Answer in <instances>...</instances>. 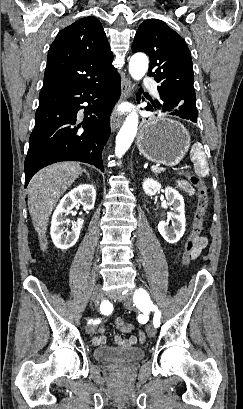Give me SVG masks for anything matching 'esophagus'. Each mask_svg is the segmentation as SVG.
Here are the masks:
<instances>
[{
  "mask_svg": "<svg viewBox=\"0 0 243 409\" xmlns=\"http://www.w3.org/2000/svg\"><path fill=\"white\" fill-rule=\"evenodd\" d=\"M132 93V82L130 80L129 77L125 78L122 86H121V95L119 98L118 103H121L127 99L130 98ZM122 119H123V115L122 113L118 110L115 109L111 115V119H110V126H111V130L115 131L116 129H118L122 123Z\"/></svg>",
  "mask_w": 243,
  "mask_h": 409,
  "instance_id": "obj_1",
  "label": "esophagus"
}]
</instances>
